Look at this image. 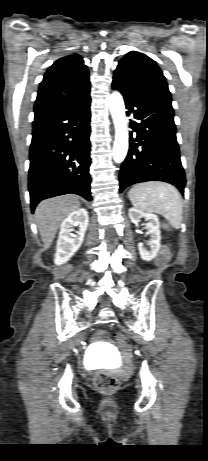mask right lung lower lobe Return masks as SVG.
Here are the masks:
<instances>
[{
	"label": "right lung lower lobe",
	"instance_id": "98d812e1",
	"mask_svg": "<svg viewBox=\"0 0 208 461\" xmlns=\"http://www.w3.org/2000/svg\"><path fill=\"white\" fill-rule=\"evenodd\" d=\"M90 95L34 118L28 189L31 210L46 198L74 193L91 201Z\"/></svg>",
	"mask_w": 208,
	"mask_h": 461
}]
</instances>
